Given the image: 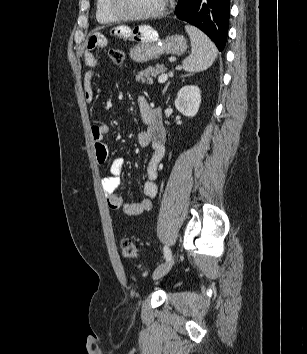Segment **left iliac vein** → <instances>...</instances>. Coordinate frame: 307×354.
Returning a JSON list of instances; mask_svg holds the SVG:
<instances>
[{
    "mask_svg": "<svg viewBox=\"0 0 307 354\" xmlns=\"http://www.w3.org/2000/svg\"><path fill=\"white\" fill-rule=\"evenodd\" d=\"M174 263V254H171L170 258L166 260L161 266H159L153 273V279L157 280L165 276L172 268Z\"/></svg>",
    "mask_w": 307,
    "mask_h": 354,
    "instance_id": "4c4485c4",
    "label": "left iliac vein"
}]
</instances>
